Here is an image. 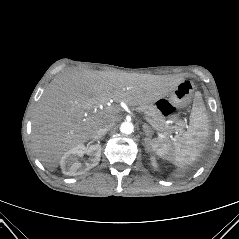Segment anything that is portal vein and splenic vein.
<instances>
[{
    "mask_svg": "<svg viewBox=\"0 0 239 239\" xmlns=\"http://www.w3.org/2000/svg\"><path fill=\"white\" fill-rule=\"evenodd\" d=\"M144 119L147 121V122H149L153 127H154V124L152 123V121H151V119H149L148 117H144ZM155 128V127H154ZM157 129V128H156ZM176 130H178V131H181V129L179 128H176Z\"/></svg>",
    "mask_w": 239,
    "mask_h": 239,
    "instance_id": "18ae733b",
    "label": "portal vein and splenic vein"
}]
</instances>
